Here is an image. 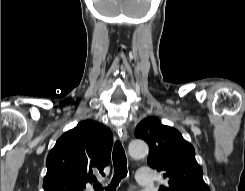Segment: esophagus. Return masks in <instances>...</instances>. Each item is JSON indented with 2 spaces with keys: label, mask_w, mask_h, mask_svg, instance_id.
Returning a JSON list of instances; mask_svg holds the SVG:
<instances>
[{
  "label": "esophagus",
  "mask_w": 245,
  "mask_h": 191,
  "mask_svg": "<svg viewBox=\"0 0 245 191\" xmlns=\"http://www.w3.org/2000/svg\"><path fill=\"white\" fill-rule=\"evenodd\" d=\"M117 134L122 141L125 142L127 140V130L124 125L117 128Z\"/></svg>",
  "instance_id": "34e87169"
}]
</instances>
